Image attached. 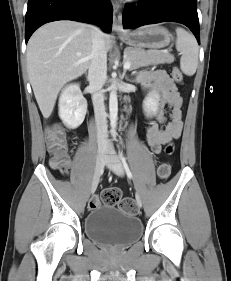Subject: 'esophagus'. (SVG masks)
Wrapping results in <instances>:
<instances>
[{"label":"esophagus","mask_w":231,"mask_h":281,"mask_svg":"<svg viewBox=\"0 0 231 281\" xmlns=\"http://www.w3.org/2000/svg\"><path fill=\"white\" fill-rule=\"evenodd\" d=\"M113 9V30L118 33L125 32L122 25L121 7L117 2H112Z\"/></svg>","instance_id":"esophagus-1"}]
</instances>
